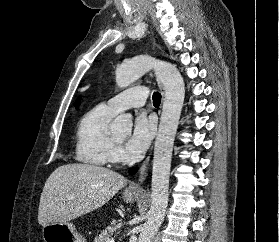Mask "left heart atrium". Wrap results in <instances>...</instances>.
Wrapping results in <instances>:
<instances>
[{
  "instance_id": "obj_1",
  "label": "left heart atrium",
  "mask_w": 279,
  "mask_h": 242,
  "mask_svg": "<svg viewBox=\"0 0 279 242\" xmlns=\"http://www.w3.org/2000/svg\"><path fill=\"white\" fill-rule=\"evenodd\" d=\"M154 134V122L146 114L140 113L134 121L127 149L132 154H142L149 147Z\"/></svg>"
}]
</instances>
